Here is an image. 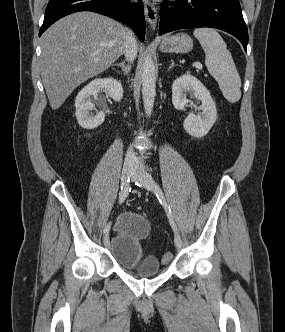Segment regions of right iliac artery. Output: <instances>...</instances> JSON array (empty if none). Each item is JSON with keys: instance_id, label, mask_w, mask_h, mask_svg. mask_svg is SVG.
<instances>
[{"instance_id": "right-iliac-artery-1", "label": "right iliac artery", "mask_w": 285, "mask_h": 332, "mask_svg": "<svg viewBox=\"0 0 285 332\" xmlns=\"http://www.w3.org/2000/svg\"><path fill=\"white\" fill-rule=\"evenodd\" d=\"M129 183H130V179H127V182L125 184H123V186L121 187V192L119 194V204L124 202V200L127 198L128 194H129V192L131 191ZM110 226H111L110 223H108L105 226V228L103 230L104 234L109 232Z\"/></svg>"}]
</instances>
